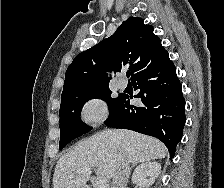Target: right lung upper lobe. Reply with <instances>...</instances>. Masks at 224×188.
<instances>
[{
	"mask_svg": "<svg viewBox=\"0 0 224 188\" xmlns=\"http://www.w3.org/2000/svg\"><path fill=\"white\" fill-rule=\"evenodd\" d=\"M167 53L151 25L130 17L116 32L94 47L78 54L69 65L62 93L109 84L108 72L131 70V79L159 62Z\"/></svg>",
	"mask_w": 224,
	"mask_h": 188,
	"instance_id": "cb5924a9",
	"label": "right lung upper lobe"
}]
</instances>
